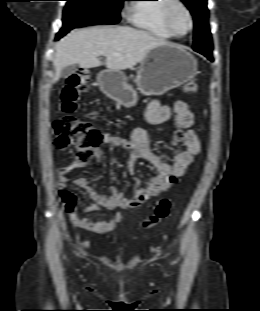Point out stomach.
<instances>
[{
	"label": "stomach",
	"instance_id": "obj_1",
	"mask_svg": "<svg viewBox=\"0 0 260 311\" xmlns=\"http://www.w3.org/2000/svg\"><path fill=\"white\" fill-rule=\"evenodd\" d=\"M198 73L196 58L182 46L168 43L151 49L141 61L136 85L143 95H161L190 81ZM97 80L105 95L126 107L134 105L136 92L126 83L121 71H101Z\"/></svg>",
	"mask_w": 260,
	"mask_h": 311
}]
</instances>
